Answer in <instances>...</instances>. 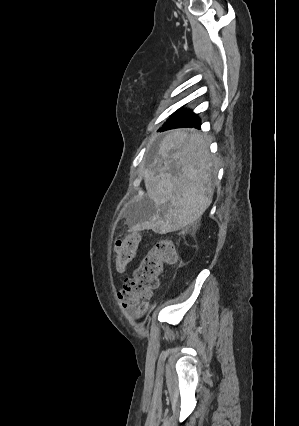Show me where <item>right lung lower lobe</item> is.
<instances>
[{"mask_svg":"<svg viewBox=\"0 0 299 426\" xmlns=\"http://www.w3.org/2000/svg\"><path fill=\"white\" fill-rule=\"evenodd\" d=\"M180 127H196L200 128V119L192 111H183L172 116L161 128V131H165L173 128Z\"/></svg>","mask_w":299,"mask_h":426,"instance_id":"1","label":"right lung lower lobe"}]
</instances>
